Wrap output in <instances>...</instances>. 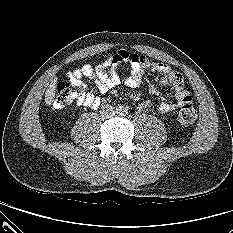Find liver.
Instances as JSON below:
<instances>
[{
    "instance_id": "obj_1",
    "label": "liver",
    "mask_w": 233,
    "mask_h": 233,
    "mask_svg": "<svg viewBox=\"0 0 233 233\" xmlns=\"http://www.w3.org/2000/svg\"><path fill=\"white\" fill-rule=\"evenodd\" d=\"M57 89V78L51 81L50 85L48 86L45 92V102L47 105H51L54 101L55 94Z\"/></svg>"
}]
</instances>
